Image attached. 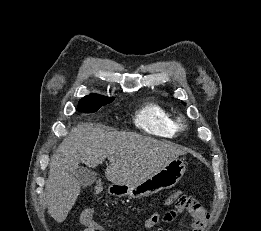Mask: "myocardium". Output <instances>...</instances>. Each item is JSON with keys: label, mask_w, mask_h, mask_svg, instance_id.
I'll list each match as a JSON object with an SVG mask.
<instances>
[{"label": "myocardium", "mask_w": 261, "mask_h": 231, "mask_svg": "<svg viewBox=\"0 0 261 231\" xmlns=\"http://www.w3.org/2000/svg\"><path fill=\"white\" fill-rule=\"evenodd\" d=\"M175 124L178 130L184 131L188 129V124L183 117H177L175 120Z\"/></svg>", "instance_id": "obj_1"}]
</instances>
